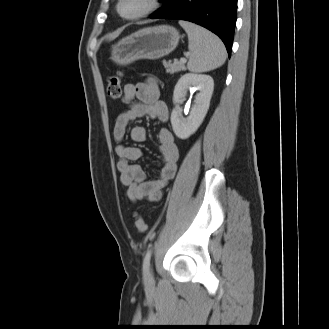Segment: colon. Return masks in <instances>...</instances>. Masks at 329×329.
Listing matches in <instances>:
<instances>
[{
    "instance_id": "1",
    "label": "colon",
    "mask_w": 329,
    "mask_h": 329,
    "mask_svg": "<svg viewBox=\"0 0 329 329\" xmlns=\"http://www.w3.org/2000/svg\"><path fill=\"white\" fill-rule=\"evenodd\" d=\"M123 73L117 72L112 74L107 79V94L108 96L113 99L117 100L120 98L122 89H121V78ZM135 229L138 233H145L147 230V224L143 217L136 213L135 214Z\"/></svg>"
}]
</instances>
